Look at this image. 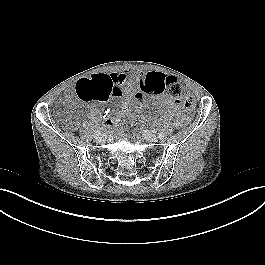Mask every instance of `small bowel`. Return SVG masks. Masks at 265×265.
Listing matches in <instances>:
<instances>
[{"label":"small bowel","mask_w":265,"mask_h":265,"mask_svg":"<svg viewBox=\"0 0 265 265\" xmlns=\"http://www.w3.org/2000/svg\"><path fill=\"white\" fill-rule=\"evenodd\" d=\"M166 76L167 74L161 71H143L138 75L122 73L96 74L83 79L92 81L96 78H104L109 82L113 96L121 97L133 93H136V95L144 94L152 97V105L163 107L170 113H174L179 105L165 94L167 86L164 79ZM128 101L129 99H127ZM100 117V113L97 111H91L89 114V118L94 121L100 119ZM117 124V119H107L103 123L106 128L115 127Z\"/></svg>","instance_id":"small-bowel-1"}]
</instances>
